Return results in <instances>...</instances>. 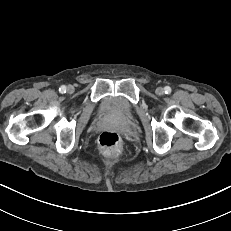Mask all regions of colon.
I'll use <instances>...</instances> for the list:
<instances>
[{
    "mask_svg": "<svg viewBox=\"0 0 231 231\" xmlns=\"http://www.w3.org/2000/svg\"><path fill=\"white\" fill-rule=\"evenodd\" d=\"M98 144L102 152L114 154L120 149L121 138L114 131H104L99 136Z\"/></svg>",
    "mask_w": 231,
    "mask_h": 231,
    "instance_id": "5ec220e1",
    "label": "colon"
}]
</instances>
